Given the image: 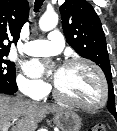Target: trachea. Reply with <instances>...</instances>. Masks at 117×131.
Segmentation results:
<instances>
[{
  "instance_id": "1",
  "label": "trachea",
  "mask_w": 117,
  "mask_h": 131,
  "mask_svg": "<svg viewBox=\"0 0 117 131\" xmlns=\"http://www.w3.org/2000/svg\"><path fill=\"white\" fill-rule=\"evenodd\" d=\"M44 0H35L34 11L38 12Z\"/></svg>"
}]
</instances>
